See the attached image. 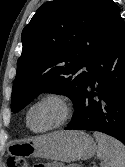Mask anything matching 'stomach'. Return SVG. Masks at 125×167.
<instances>
[{"label": "stomach", "instance_id": "obj_1", "mask_svg": "<svg viewBox=\"0 0 125 167\" xmlns=\"http://www.w3.org/2000/svg\"><path fill=\"white\" fill-rule=\"evenodd\" d=\"M15 155L59 162L91 158L97 151L94 139L83 131H57L13 144Z\"/></svg>", "mask_w": 125, "mask_h": 167}]
</instances>
